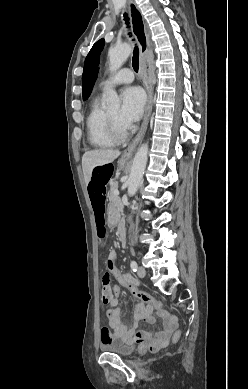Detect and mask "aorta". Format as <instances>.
Segmentation results:
<instances>
[{"label":"aorta","mask_w":248,"mask_h":389,"mask_svg":"<svg viewBox=\"0 0 248 389\" xmlns=\"http://www.w3.org/2000/svg\"><path fill=\"white\" fill-rule=\"evenodd\" d=\"M132 48L129 44H121L109 49V70L117 71L131 54ZM106 107L108 109H118L120 100L115 90L107 92ZM148 160V144H142L133 159L130 175L128 178V195L133 196L143 177V173Z\"/></svg>","instance_id":"aorta-1"}]
</instances>
